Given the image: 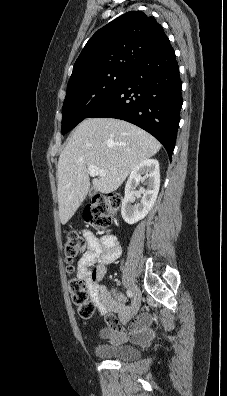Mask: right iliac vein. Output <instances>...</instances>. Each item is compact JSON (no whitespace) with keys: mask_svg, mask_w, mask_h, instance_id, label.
Returning a JSON list of instances; mask_svg holds the SVG:
<instances>
[{"mask_svg":"<svg viewBox=\"0 0 227 396\" xmlns=\"http://www.w3.org/2000/svg\"><path fill=\"white\" fill-rule=\"evenodd\" d=\"M141 304V292L137 286H133L132 313L138 312Z\"/></svg>","mask_w":227,"mask_h":396,"instance_id":"obj_1","label":"right iliac vein"}]
</instances>
